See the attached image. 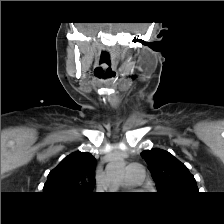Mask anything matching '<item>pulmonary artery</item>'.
Masks as SVG:
<instances>
[{
  "label": "pulmonary artery",
  "mask_w": 224,
  "mask_h": 224,
  "mask_svg": "<svg viewBox=\"0 0 224 224\" xmlns=\"http://www.w3.org/2000/svg\"><path fill=\"white\" fill-rule=\"evenodd\" d=\"M125 186L137 187L141 186L144 182V173L140 166L131 164L126 169L125 174Z\"/></svg>",
  "instance_id": "obj_1"
}]
</instances>
